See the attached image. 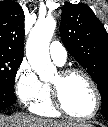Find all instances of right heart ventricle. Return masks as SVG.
I'll list each match as a JSON object with an SVG mask.
<instances>
[{
    "label": "right heart ventricle",
    "mask_w": 108,
    "mask_h": 127,
    "mask_svg": "<svg viewBox=\"0 0 108 127\" xmlns=\"http://www.w3.org/2000/svg\"><path fill=\"white\" fill-rule=\"evenodd\" d=\"M33 113L45 117H57L60 113L55 109L52 102L50 84L42 83L40 97L31 105Z\"/></svg>",
    "instance_id": "obj_1"
}]
</instances>
